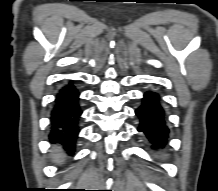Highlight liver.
<instances>
[{
  "label": "liver",
  "instance_id": "6515ba94",
  "mask_svg": "<svg viewBox=\"0 0 218 191\" xmlns=\"http://www.w3.org/2000/svg\"><path fill=\"white\" fill-rule=\"evenodd\" d=\"M52 160L56 163H61L64 160V153L59 147H57L52 154Z\"/></svg>",
  "mask_w": 218,
  "mask_h": 191
}]
</instances>
